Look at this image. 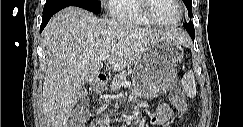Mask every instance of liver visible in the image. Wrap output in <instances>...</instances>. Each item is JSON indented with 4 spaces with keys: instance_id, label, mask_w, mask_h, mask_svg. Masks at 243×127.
Segmentation results:
<instances>
[{
    "instance_id": "obj_1",
    "label": "liver",
    "mask_w": 243,
    "mask_h": 127,
    "mask_svg": "<svg viewBox=\"0 0 243 127\" xmlns=\"http://www.w3.org/2000/svg\"><path fill=\"white\" fill-rule=\"evenodd\" d=\"M160 39L189 43L184 32L141 28L123 19H98L78 7L55 14L43 31L47 69L42 111L46 127H67L81 87L92 82L103 67L101 53L108 51L109 66L115 72L122 71Z\"/></svg>"
}]
</instances>
